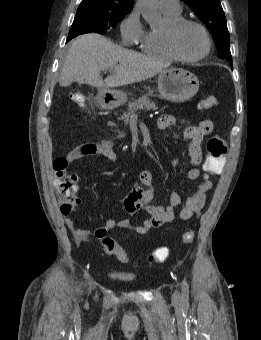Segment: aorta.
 Returning <instances> with one entry per match:
<instances>
[{"label": "aorta", "instance_id": "obj_1", "mask_svg": "<svg viewBox=\"0 0 261 340\" xmlns=\"http://www.w3.org/2000/svg\"><path fill=\"white\" fill-rule=\"evenodd\" d=\"M137 6L147 22L156 23L161 19L158 12V0H138Z\"/></svg>", "mask_w": 261, "mask_h": 340}]
</instances>
